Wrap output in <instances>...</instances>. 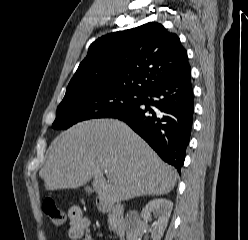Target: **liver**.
I'll return each mask as SVG.
<instances>
[{
	"mask_svg": "<svg viewBox=\"0 0 248 240\" xmlns=\"http://www.w3.org/2000/svg\"><path fill=\"white\" fill-rule=\"evenodd\" d=\"M40 177L46 190L75 189L93 178L100 201L113 204L167 194L178 173L124 122L94 119L56 137Z\"/></svg>",
	"mask_w": 248,
	"mask_h": 240,
	"instance_id": "liver-1",
	"label": "liver"
}]
</instances>
